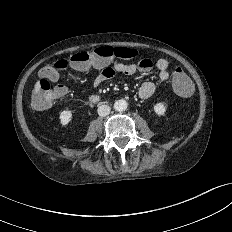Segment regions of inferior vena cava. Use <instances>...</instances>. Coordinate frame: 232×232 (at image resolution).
I'll return each instance as SVG.
<instances>
[{"label":"inferior vena cava","instance_id":"1","mask_svg":"<svg viewBox=\"0 0 232 232\" xmlns=\"http://www.w3.org/2000/svg\"><path fill=\"white\" fill-rule=\"evenodd\" d=\"M111 108L108 105H100L98 107V115L101 117H105L109 115Z\"/></svg>","mask_w":232,"mask_h":232}]
</instances>
